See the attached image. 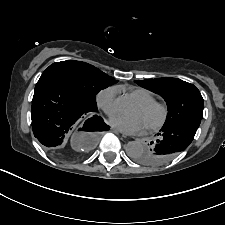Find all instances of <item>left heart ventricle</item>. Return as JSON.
<instances>
[{"mask_svg":"<svg viewBox=\"0 0 225 225\" xmlns=\"http://www.w3.org/2000/svg\"><path fill=\"white\" fill-rule=\"evenodd\" d=\"M134 115L143 117L144 120L146 121L147 125L149 126V125L155 123L156 121H158L161 113L158 109L145 111L138 105L134 111Z\"/></svg>","mask_w":225,"mask_h":225,"instance_id":"b2bd125f","label":"left heart ventricle"}]
</instances>
